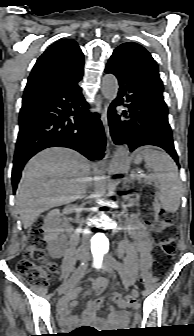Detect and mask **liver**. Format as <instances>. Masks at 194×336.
<instances>
[{"instance_id": "obj_1", "label": "liver", "mask_w": 194, "mask_h": 336, "mask_svg": "<svg viewBox=\"0 0 194 336\" xmlns=\"http://www.w3.org/2000/svg\"><path fill=\"white\" fill-rule=\"evenodd\" d=\"M90 164L78 152L48 148L26 164L16 192V206L25 229L44 211L82 198Z\"/></svg>"}]
</instances>
